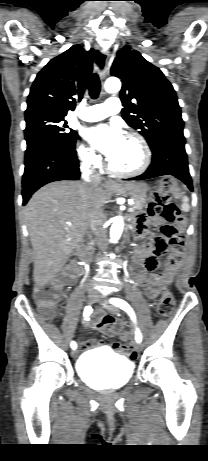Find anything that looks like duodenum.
Wrapping results in <instances>:
<instances>
[{
	"mask_svg": "<svg viewBox=\"0 0 208 461\" xmlns=\"http://www.w3.org/2000/svg\"><path fill=\"white\" fill-rule=\"evenodd\" d=\"M80 257L83 261H87L91 255V245L87 237H85L79 244Z\"/></svg>",
	"mask_w": 208,
	"mask_h": 461,
	"instance_id": "obj_1",
	"label": "duodenum"
}]
</instances>
